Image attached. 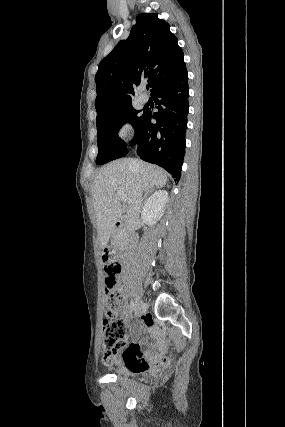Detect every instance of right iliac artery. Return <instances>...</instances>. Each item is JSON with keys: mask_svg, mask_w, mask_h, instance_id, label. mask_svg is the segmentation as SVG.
<instances>
[{"mask_svg": "<svg viewBox=\"0 0 285 427\" xmlns=\"http://www.w3.org/2000/svg\"><path fill=\"white\" fill-rule=\"evenodd\" d=\"M136 308V304L134 303V301L130 302V313H132Z\"/></svg>", "mask_w": 285, "mask_h": 427, "instance_id": "obj_1", "label": "right iliac artery"}]
</instances>
